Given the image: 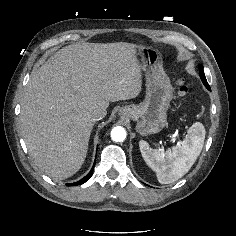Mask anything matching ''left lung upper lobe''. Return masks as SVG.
Segmentation results:
<instances>
[{
  "mask_svg": "<svg viewBox=\"0 0 236 236\" xmlns=\"http://www.w3.org/2000/svg\"><path fill=\"white\" fill-rule=\"evenodd\" d=\"M199 70H200V78H201L203 84L205 85V87H206L207 89L210 90V86H209V84H208V82H207V80H206V77H205V74H204L203 66H202V65H199Z\"/></svg>",
  "mask_w": 236,
  "mask_h": 236,
  "instance_id": "left-lung-upper-lobe-1",
  "label": "left lung upper lobe"
}]
</instances>
